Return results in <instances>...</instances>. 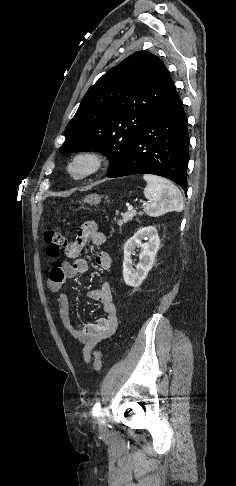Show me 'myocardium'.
I'll return each instance as SVG.
<instances>
[{"label": "myocardium", "mask_w": 236, "mask_h": 486, "mask_svg": "<svg viewBox=\"0 0 236 486\" xmlns=\"http://www.w3.org/2000/svg\"><path fill=\"white\" fill-rule=\"evenodd\" d=\"M107 162L105 154L99 150L88 149L75 153L67 163L66 172L74 181H83L100 173ZM79 164H85V169L77 171Z\"/></svg>", "instance_id": "obj_1"}]
</instances>
